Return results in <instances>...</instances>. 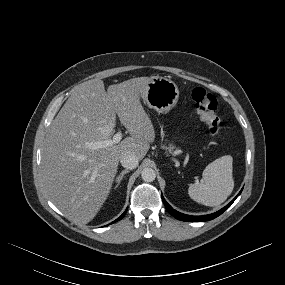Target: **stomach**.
<instances>
[{
	"instance_id": "1",
	"label": "stomach",
	"mask_w": 285,
	"mask_h": 285,
	"mask_svg": "<svg viewBox=\"0 0 285 285\" xmlns=\"http://www.w3.org/2000/svg\"><path fill=\"white\" fill-rule=\"evenodd\" d=\"M143 101L158 112H169L179 98V89L175 82L161 76H153L141 94Z\"/></svg>"
}]
</instances>
